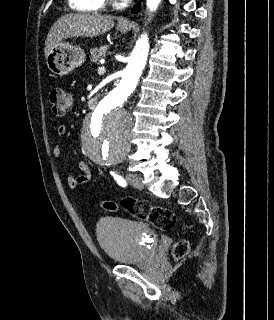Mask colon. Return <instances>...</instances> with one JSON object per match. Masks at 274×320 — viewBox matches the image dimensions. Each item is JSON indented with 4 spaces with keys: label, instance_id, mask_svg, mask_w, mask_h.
Returning a JSON list of instances; mask_svg holds the SVG:
<instances>
[{
    "label": "colon",
    "instance_id": "colon-1",
    "mask_svg": "<svg viewBox=\"0 0 274 320\" xmlns=\"http://www.w3.org/2000/svg\"><path fill=\"white\" fill-rule=\"evenodd\" d=\"M49 102L55 116H63L71 106V98L69 93L62 87H53L49 91ZM125 210L135 217L148 220L153 226L168 230L175 221L172 211L162 207L154 206L150 202L143 200H128L125 199L120 204ZM109 200L101 201V208L110 211L118 212V206ZM189 242L183 238H179L174 246V255L176 258L183 257L188 253Z\"/></svg>",
    "mask_w": 274,
    "mask_h": 320
}]
</instances>
